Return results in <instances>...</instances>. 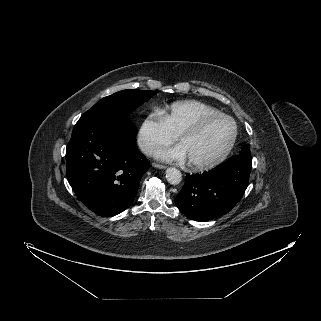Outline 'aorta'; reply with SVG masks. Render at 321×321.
<instances>
[{
	"label": "aorta",
	"mask_w": 321,
	"mask_h": 321,
	"mask_svg": "<svg viewBox=\"0 0 321 321\" xmlns=\"http://www.w3.org/2000/svg\"><path fill=\"white\" fill-rule=\"evenodd\" d=\"M166 179L172 185H178L182 180L181 172L173 167H169L166 170Z\"/></svg>",
	"instance_id": "1"
}]
</instances>
